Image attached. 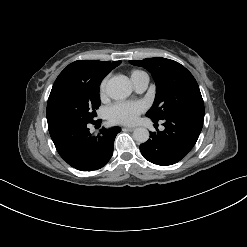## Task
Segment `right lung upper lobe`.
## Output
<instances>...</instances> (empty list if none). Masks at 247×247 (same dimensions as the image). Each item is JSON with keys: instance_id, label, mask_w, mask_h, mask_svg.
Returning a JSON list of instances; mask_svg holds the SVG:
<instances>
[{"instance_id": "cb5924a9", "label": "right lung upper lobe", "mask_w": 247, "mask_h": 247, "mask_svg": "<svg viewBox=\"0 0 247 247\" xmlns=\"http://www.w3.org/2000/svg\"><path fill=\"white\" fill-rule=\"evenodd\" d=\"M121 61H88L78 60L69 64L57 77L55 82L61 80H82L87 82H100Z\"/></svg>"}]
</instances>
